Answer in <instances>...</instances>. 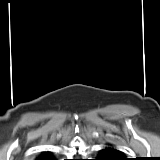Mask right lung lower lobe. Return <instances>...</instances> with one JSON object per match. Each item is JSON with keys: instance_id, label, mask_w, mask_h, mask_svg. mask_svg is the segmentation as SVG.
Wrapping results in <instances>:
<instances>
[{"instance_id": "98d812e1", "label": "right lung lower lobe", "mask_w": 160, "mask_h": 160, "mask_svg": "<svg viewBox=\"0 0 160 160\" xmlns=\"http://www.w3.org/2000/svg\"><path fill=\"white\" fill-rule=\"evenodd\" d=\"M36 160H55L53 155L48 152L41 153Z\"/></svg>"}]
</instances>
